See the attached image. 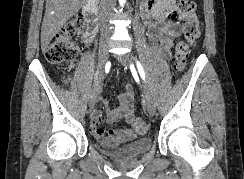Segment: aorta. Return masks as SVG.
Returning <instances> with one entry per match:
<instances>
[{"label": "aorta", "instance_id": "1", "mask_svg": "<svg viewBox=\"0 0 244 179\" xmlns=\"http://www.w3.org/2000/svg\"><path fill=\"white\" fill-rule=\"evenodd\" d=\"M125 2H126V0H119L120 6H124Z\"/></svg>", "mask_w": 244, "mask_h": 179}]
</instances>
